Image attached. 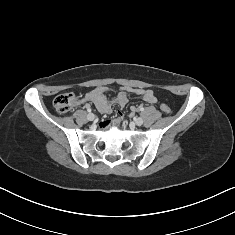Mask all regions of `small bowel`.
<instances>
[{"mask_svg":"<svg viewBox=\"0 0 235 235\" xmlns=\"http://www.w3.org/2000/svg\"><path fill=\"white\" fill-rule=\"evenodd\" d=\"M107 92L108 89L104 87H98L88 92L82 100L92 102L96 106L98 111L103 114L111 113L113 104H117L121 107L125 106L128 102L127 94L129 92L141 97L145 102L149 104H154L157 101L153 91L150 89L126 87L122 89L113 100H109L107 98ZM135 110V107H132L130 109L131 113H134ZM118 116L122 117L123 114L121 112H118ZM103 126H105V124H103Z\"/></svg>","mask_w":235,"mask_h":235,"instance_id":"c3829d8e","label":"small bowel"}]
</instances>
